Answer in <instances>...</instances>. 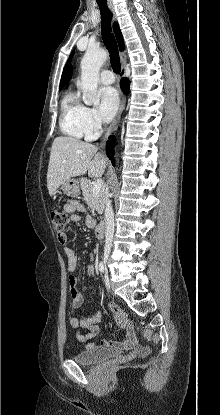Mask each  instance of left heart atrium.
Here are the masks:
<instances>
[{"mask_svg":"<svg viewBox=\"0 0 220 415\" xmlns=\"http://www.w3.org/2000/svg\"><path fill=\"white\" fill-rule=\"evenodd\" d=\"M119 106L117 91L113 87H102L99 90V105L97 117L103 122H109Z\"/></svg>","mask_w":220,"mask_h":415,"instance_id":"1","label":"left heart atrium"}]
</instances>
